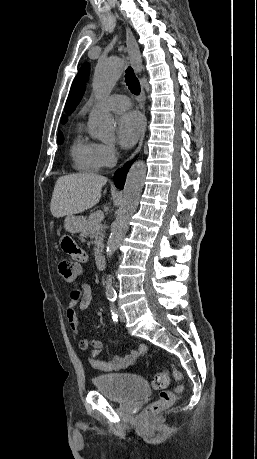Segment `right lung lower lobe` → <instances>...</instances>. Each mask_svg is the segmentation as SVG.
Masks as SVG:
<instances>
[{"label":"right lung lower lobe","mask_w":257,"mask_h":459,"mask_svg":"<svg viewBox=\"0 0 257 459\" xmlns=\"http://www.w3.org/2000/svg\"><path fill=\"white\" fill-rule=\"evenodd\" d=\"M130 167V163H127L123 168L117 170L114 174V183L117 188H123L125 179H126V174L128 172V169Z\"/></svg>","instance_id":"obj_1"}]
</instances>
